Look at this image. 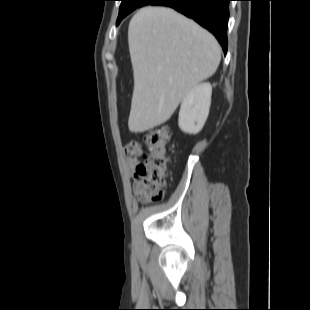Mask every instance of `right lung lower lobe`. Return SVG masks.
Here are the masks:
<instances>
[{
	"mask_svg": "<svg viewBox=\"0 0 310 310\" xmlns=\"http://www.w3.org/2000/svg\"><path fill=\"white\" fill-rule=\"evenodd\" d=\"M231 0H154L151 5L174 8L209 30L227 52V25Z\"/></svg>",
	"mask_w": 310,
	"mask_h": 310,
	"instance_id": "right-lung-lower-lobe-1",
	"label": "right lung lower lobe"
}]
</instances>
